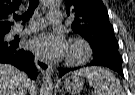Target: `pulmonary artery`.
I'll list each match as a JSON object with an SVG mask.
<instances>
[{
	"instance_id": "1",
	"label": "pulmonary artery",
	"mask_w": 135,
	"mask_h": 95,
	"mask_svg": "<svg viewBox=\"0 0 135 95\" xmlns=\"http://www.w3.org/2000/svg\"><path fill=\"white\" fill-rule=\"evenodd\" d=\"M48 22L53 24H59L61 22V13L59 10H51L48 13ZM44 26V20L41 18L35 19L30 22V24L22 28L18 25L14 26L11 30V34H17L22 32H34L40 30Z\"/></svg>"
}]
</instances>
